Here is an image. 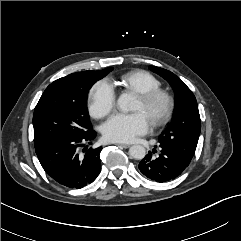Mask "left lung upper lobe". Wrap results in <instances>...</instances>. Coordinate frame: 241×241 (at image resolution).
<instances>
[{
	"label": "left lung upper lobe",
	"mask_w": 241,
	"mask_h": 241,
	"mask_svg": "<svg viewBox=\"0 0 241 241\" xmlns=\"http://www.w3.org/2000/svg\"><path fill=\"white\" fill-rule=\"evenodd\" d=\"M151 69L169 82L177 98L174 120L158 137V142L171 148L190 163L201 130L196 98L185 83L172 72L156 66H151Z\"/></svg>",
	"instance_id": "1"
}]
</instances>
